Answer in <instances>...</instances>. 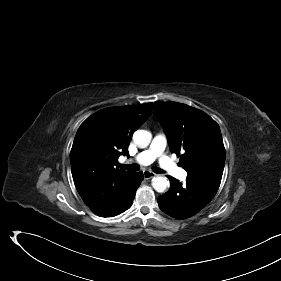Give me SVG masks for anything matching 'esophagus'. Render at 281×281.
Returning <instances> with one entry per match:
<instances>
[{"instance_id": "1", "label": "esophagus", "mask_w": 281, "mask_h": 281, "mask_svg": "<svg viewBox=\"0 0 281 281\" xmlns=\"http://www.w3.org/2000/svg\"><path fill=\"white\" fill-rule=\"evenodd\" d=\"M143 175H144V178H145L146 180H149V179H151V178H153V177L156 176V174H155L154 172H151V171H149V170L144 171V172H143Z\"/></svg>"}]
</instances>
